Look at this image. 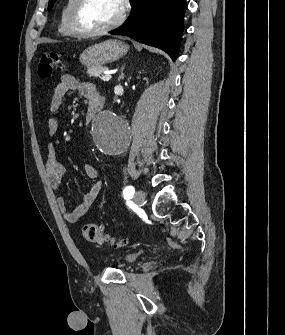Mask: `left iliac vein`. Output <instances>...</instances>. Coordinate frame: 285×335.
<instances>
[{"label": "left iliac vein", "mask_w": 285, "mask_h": 335, "mask_svg": "<svg viewBox=\"0 0 285 335\" xmlns=\"http://www.w3.org/2000/svg\"><path fill=\"white\" fill-rule=\"evenodd\" d=\"M145 201V192L143 190H138L134 195V202L141 206Z\"/></svg>", "instance_id": "1"}]
</instances>
